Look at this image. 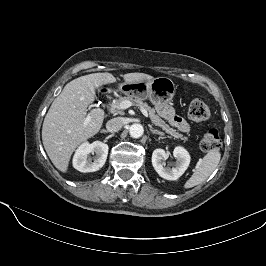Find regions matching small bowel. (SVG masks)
<instances>
[{
	"mask_svg": "<svg viewBox=\"0 0 266 266\" xmlns=\"http://www.w3.org/2000/svg\"><path fill=\"white\" fill-rule=\"evenodd\" d=\"M158 110L160 115L167 119L172 126L176 127L182 132L189 131L188 123L182 117L177 115L172 107L160 106Z\"/></svg>",
	"mask_w": 266,
	"mask_h": 266,
	"instance_id": "small-bowel-1",
	"label": "small bowel"
}]
</instances>
